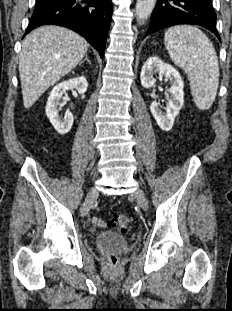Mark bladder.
Returning a JSON list of instances; mask_svg holds the SVG:
<instances>
[{"instance_id":"obj_1","label":"bladder","mask_w":232,"mask_h":311,"mask_svg":"<svg viewBox=\"0 0 232 311\" xmlns=\"http://www.w3.org/2000/svg\"><path fill=\"white\" fill-rule=\"evenodd\" d=\"M94 244L98 250H112L122 252L128 249V239L112 231H104L94 238Z\"/></svg>"}]
</instances>
